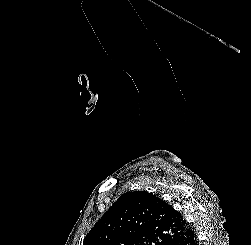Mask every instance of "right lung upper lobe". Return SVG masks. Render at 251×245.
Returning <instances> with one entry per match:
<instances>
[{"instance_id": "cb5924a9", "label": "right lung upper lobe", "mask_w": 251, "mask_h": 245, "mask_svg": "<svg viewBox=\"0 0 251 245\" xmlns=\"http://www.w3.org/2000/svg\"><path fill=\"white\" fill-rule=\"evenodd\" d=\"M188 229L171 205L146 191L126 192L86 235L83 245H167Z\"/></svg>"}]
</instances>
